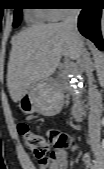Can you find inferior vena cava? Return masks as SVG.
Wrapping results in <instances>:
<instances>
[{
	"mask_svg": "<svg viewBox=\"0 0 104 169\" xmlns=\"http://www.w3.org/2000/svg\"><path fill=\"white\" fill-rule=\"evenodd\" d=\"M80 9H68L63 26L67 28L76 39L81 55L82 67L89 79V138L93 149L100 148V131H101V114H102V98L95 85H93V66L90 55L84 47L82 38L78 32L77 20Z\"/></svg>",
	"mask_w": 104,
	"mask_h": 169,
	"instance_id": "602c4592",
	"label": "inferior vena cava"
}]
</instances>
